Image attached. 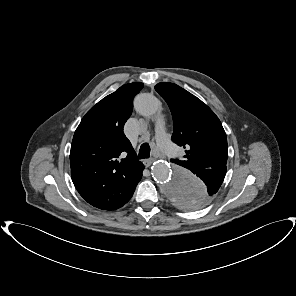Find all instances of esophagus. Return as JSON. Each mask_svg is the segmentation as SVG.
Masks as SVG:
<instances>
[{"label":"esophagus","instance_id":"1","mask_svg":"<svg viewBox=\"0 0 296 296\" xmlns=\"http://www.w3.org/2000/svg\"><path fill=\"white\" fill-rule=\"evenodd\" d=\"M152 162H153V159H152V158L145 159V160L143 161V163H144V165H145L146 167H149V166L152 164Z\"/></svg>","mask_w":296,"mask_h":296}]
</instances>
